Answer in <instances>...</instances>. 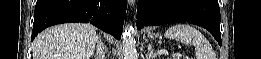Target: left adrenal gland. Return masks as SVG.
<instances>
[{"label":"left adrenal gland","mask_w":261,"mask_h":59,"mask_svg":"<svg viewBox=\"0 0 261 59\" xmlns=\"http://www.w3.org/2000/svg\"><path fill=\"white\" fill-rule=\"evenodd\" d=\"M157 58V54L154 53V50L152 49V45L149 44L148 45V51L146 54V59H156Z\"/></svg>","instance_id":"a2214340"}]
</instances>
